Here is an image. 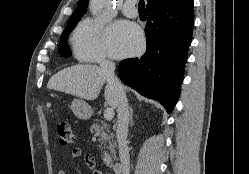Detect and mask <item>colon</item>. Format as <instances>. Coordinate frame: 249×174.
I'll list each match as a JSON object with an SVG mask.
<instances>
[{
  "label": "colon",
  "instance_id": "obj_1",
  "mask_svg": "<svg viewBox=\"0 0 249 174\" xmlns=\"http://www.w3.org/2000/svg\"><path fill=\"white\" fill-rule=\"evenodd\" d=\"M57 135L60 145L69 146L74 142V132L67 122H60L57 125Z\"/></svg>",
  "mask_w": 249,
  "mask_h": 174
}]
</instances>
